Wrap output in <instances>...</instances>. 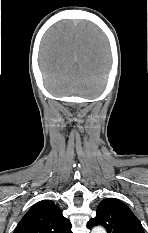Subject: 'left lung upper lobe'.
I'll return each mask as SVG.
<instances>
[{"label": "left lung upper lobe", "instance_id": "obj_1", "mask_svg": "<svg viewBox=\"0 0 148 233\" xmlns=\"http://www.w3.org/2000/svg\"><path fill=\"white\" fill-rule=\"evenodd\" d=\"M96 213V217L88 222L89 229L101 225L107 233H144L141 222L130 208L118 199L102 200Z\"/></svg>", "mask_w": 148, "mask_h": 233}]
</instances>
